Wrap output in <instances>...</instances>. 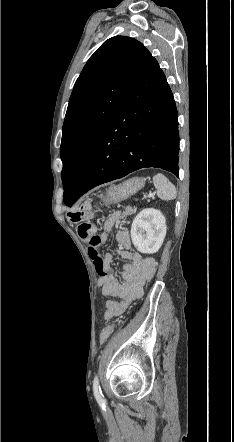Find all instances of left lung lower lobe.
<instances>
[{
  "instance_id": "obj_1",
  "label": "left lung lower lobe",
  "mask_w": 234,
  "mask_h": 442,
  "mask_svg": "<svg viewBox=\"0 0 234 442\" xmlns=\"http://www.w3.org/2000/svg\"><path fill=\"white\" fill-rule=\"evenodd\" d=\"M179 133L175 101L155 58L131 85L91 152L72 204L95 186L144 167L178 176Z\"/></svg>"
}]
</instances>
